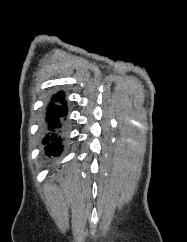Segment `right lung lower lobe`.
Here are the masks:
<instances>
[{"label": "right lung lower lobe", "instance_id": "obj_1", "mask_svg": "<svg viewBox=\"0 0 187 242\" xmlns=\"http://www.w3.org/2000/svg\"><path fill=\"white\" fill-rule=\"evenodd\" d=\"M67 114L66 101L64 94L58 92L51 99L46 112L45 130L46 135L43 139L45 154L47 156H57L62 151L61 127L64 117Z\"/></svg>", "mask_w": 187, "mask_h": 242}]
</instances>
